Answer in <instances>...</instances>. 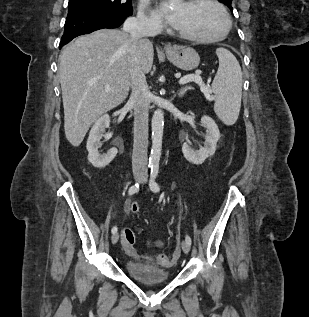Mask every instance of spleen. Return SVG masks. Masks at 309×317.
I'll list each match as a JSON object with an SVG mask.
<instances>
[{"instance_id":"obj_1","label":"spleen","mask_w":309,"mask_h":317,"mask_svg":"<svg viewBox=\"0 0 309 317\" xmlns=\"http://www.w3.org/2000/svg\"><path fill=\"white\" fill-rule=\"evenodd\" d=\"M218 71L212 83L216 95L214 111L226 125H233L239 116L242 97V71L236 57L225 48H218Z\"/></svg>"}]
</instances>
